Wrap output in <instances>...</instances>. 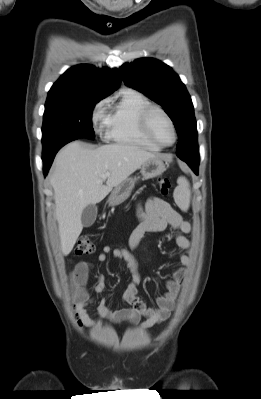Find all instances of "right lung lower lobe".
Returning <instances> with one entry per match:
<instances>
[{"mask_svg":"<svg viewBox=\"0 0 261 399\" xmlns=\"http://www.w3.org/2000/svg\"><path fill=\"white\" fill-rule=\"evenodd\" d=\"M78 139L77 137H67V138H62L54 143L48 144L46 146H43V163H44V175H47V172L52 165V162L54 160V157L58 150L63 147L65 144Z\"/></svg>","mask_w":261,"mask_h":399,"instance_id":"98d812e1","label":"right lung lower lobe"}]
</instances>
